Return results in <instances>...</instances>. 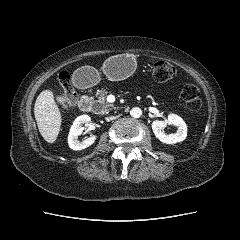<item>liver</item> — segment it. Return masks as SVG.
I'll use <instances>...</instances> for the list:
<instances>
[{"instance_id":"liver-1","label":"liver","mask_w":240,"mask_h":240,"mask_svg":"<svg viewBox=\"0 0 240 240\" xmlns=\"http://www.w3.org/2000/svg\"><path fill=\"white\" fill-rule=\"evenodd\" d=\"M34 115L41 136L46 142L54 143L60 132L62 117L52 91L43 90L38 95Z\"/></svg>"}]
</instances>
